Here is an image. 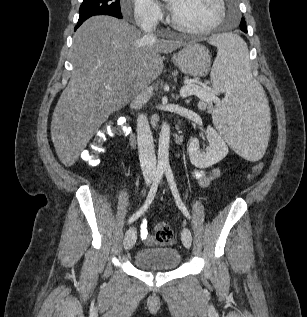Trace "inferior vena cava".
I'll return each instance as SVG.
<instances>
[{"mask_svg": "<svg viewBox=\"0 0 307 317\" xmlns=\"http://www.w3.org/2000/svg\"><path fill=\"white\" fill-rule=\"evenodd\" d=\"M157 19L146 20L141 23V29L144 31V38L148 42L156 40L153 30L156 28ZM137 143L139 160L143 176L151 178L156 173V156L154 150L153 136L146 114H139L137 117Z\"/></svg>", "mask_w": 307, "mask_h": 317, "instance_id": "inferior-vena-cava-1", "label": "inferior vena cava"}]
</instances>
